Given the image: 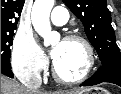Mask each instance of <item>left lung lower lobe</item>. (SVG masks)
Wrapping results in <instances>:
<instances>
[{
    "instance_id": "obj_1",
    "label": "left lung lower lobe",
    "mask_w": 121,
    "mask_h": 94,
    "mask_svg": "<svg viewBox=\"0 0 121 94\" xmlns=\"http://www.w3.org/2000/svg\"><path fill=\"white\" fill-rule=\"evenodd\" d=\"M102 82H110L121 86V63H109L102 65L80 86H92Z\"/></svg>"
}]
</instances>
